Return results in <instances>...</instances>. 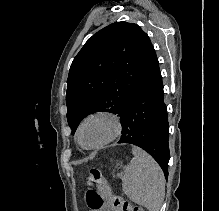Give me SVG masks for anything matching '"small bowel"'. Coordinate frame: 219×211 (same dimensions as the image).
I'll return each instance as SVG.
<instances>
[{
	"label": "small bowel",
	"mask_w": 219,
	"mask_h": 211,
	"mask_svg": "<svg viewBox=\"0 0 219 211\" xmlns=\"http://www.w3.org/2000/svg\"><path fill=\"white\" fill-rule=\"evenodd\" d=\"M86 201L91 211H112L110 205L94 191L87 192Z\"/></svg>",
	"instance_id": "small-bowel-1"
}]
</instances>
